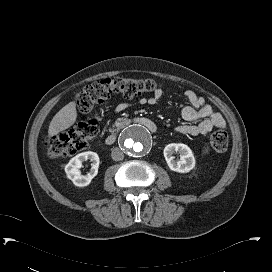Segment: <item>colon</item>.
I'll return each instance as SVG.
<instances>
[{
	"mask_svg": "<svg viewBox=\"0 0 272 272\" xmlns=\"http://www.w3.org/2000/svg\"><path fill=\"white\" fill-rule=\"evenodd\" d=\"M157 83L151 79H134L124 77L105 78L97 83L87 85L76 97L78 110L88 114L99 103L107 100L113 93H122L128 97L154 93ZM98 131L95 119L80 121L65 133L57 134L48 142V154L51 157H67L83 150L96 136ZM228 134L224 130L215 131L209 139L207 148L218 154L227 151Z\"/></svg>",
	"mask_w": 272,
	"mask_h": 272,
	"instance_id": "1",
	"label": "colon"
}]
</instances>
